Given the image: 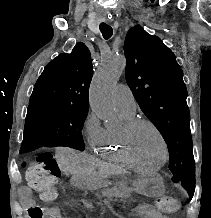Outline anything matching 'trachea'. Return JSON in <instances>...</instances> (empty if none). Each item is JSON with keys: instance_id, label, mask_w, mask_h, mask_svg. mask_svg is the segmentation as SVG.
<instances>
[{"instance_id": "3493384b", "label": "trachea", "mask_w": 211, "mask_h": 218, "mask_svg": "<svg viewBox=\"0 0 211 218\" xmlns=\"http://www.w3.org/2000/svg\"><path fill=\"white\" fill-rule=\"evenodd\" d=\"M100 31H101L103 37L105 38V40H108L113 35V29H112V27H110V25L101 24Z\"/></svg>"}]
</instances>
